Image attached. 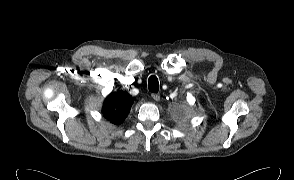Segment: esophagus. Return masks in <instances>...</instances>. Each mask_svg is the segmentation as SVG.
<instances>
[{"instance_id":"obj_1","label":"esophagus","mask_w":294,"mask_h":180,"mask_svg":"<svg viewBox=\"0 0 294 180\" xmlns=\"http://www.w3.org/2000/svg\"><path fill=\"white\" fill-rule=\"evenodd\" d=\"M151 96H152L153 100H155L157 102L160 101V94L152 93Z\"/></svg>"}]
</instances>
